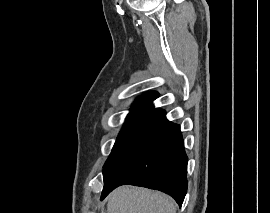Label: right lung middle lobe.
<instances>
[{"mask_svg": "<svg viewBox=\"0 0 270 213\" xmlns=\"http://www.w3.org/2000/svg\"><path fill=\"white\" fill-rule=\"evenodd\" d=\"M154 110L153 107L148 106H135L130 110L126 118L124 127L122 128L119 136L114 144L112 152L105 162L104 169L114 159L121 147L128 141L132 136L136 128L148 117V115ZM103 169V170H104Z\"/></svg>", "mask_w": 270, "mask_h": 213, "instance_id": "obj_1", "label": "right lung middle lobe"}]
</instances>
